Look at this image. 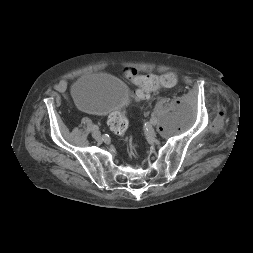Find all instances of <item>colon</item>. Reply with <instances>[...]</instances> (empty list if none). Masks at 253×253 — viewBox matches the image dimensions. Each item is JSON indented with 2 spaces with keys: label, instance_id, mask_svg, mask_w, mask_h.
<instances>
[{
  "label": "colon",
  "instance_id": "obj_1",
  "mask_svg": "<svg viewBox=\"0 0 253 253\" xmlns=\"http://www.w3.org/2000/svg\"><path fill=\"white\" fill-rule=\"evenodd\" d=\"M125 77L138 85L140 89L136 90L133 97L137 101L148 98V93L159 88H170L176 85L177 77L174 73L168 72L162 75H139L135 69L128 68L124 72ZM108 124L111 131L119 136H123L128 128V121L124 110H119L110 114Z\"/></svg>",
  "mask_w": 253,
  "mask_h": 253
}]
</instances>
